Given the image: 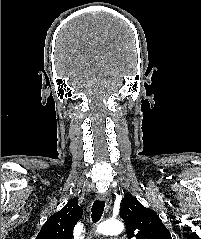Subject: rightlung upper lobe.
Instances as JSON below:
<instances>
[{
  "label": "right lung upper lobe",
  "instance_id": "1",
  "mask_svg": "<svg viewBox=\"0 0 201 239\" xmlns=\"http://www.w3.org/2000/svg\"><path fill=\"white\" fill-rule=\"evenodd\" d=\"M82 214L78 199H71L60 211L50 216L36 239H72L73 228Z\"/></svg>",
  "mask_w": 201,
  "mask_h": 239
}]
</instances>
